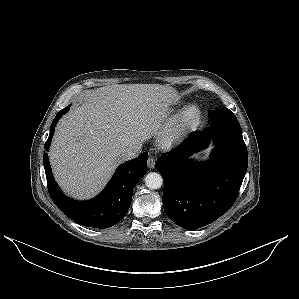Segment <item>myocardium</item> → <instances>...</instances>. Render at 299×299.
Wrapping results in <instances>:
<instances>
[{
  "label": "myocardium",
  "mask_w": 299,
  "mask_h": 299,
  "mask_svg": "<svg viewBox=\"0 0 299 299\" xmlns=\"http://www.w3.org/2000/svg\"><path fill=\"white\" fill-rule=\"evenodd\" d=\"M202 112L197 105L180 110L158 136L163 146L169 147L185 140L199 125Z\"/></svg>",
  "instance_id": "1"
}]
</instances>
